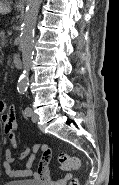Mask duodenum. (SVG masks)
<instances>
[{"label": "duodenum", "instance_id": "410a0bca", "mask_svg": "<svg viewBox=\"0 0 119 185\" xmlns=\"http://www.w3.org/2000/svg\"><path fill=\"white\" fill-rule=\"evenodd\" d=\"M13 64L17 69H21L23 66L22 59L18 54L13 56Z\"/></svg>", "mask_w": 119, "mask_h": 185}]
</instances>
